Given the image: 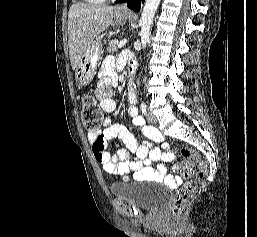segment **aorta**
I'll list each match as a JSON object with an SVG mask.
<instances>
[{
	"instance_id": "aorta-1",
	"label": "aorta",
	"mask_w": 257,
	"mask_h": 237,
	"mask_svg": "<svg viewBox=\"0 0 257 237\" xmlns=\"http://www.w3.org/2000/svg\"><path fill=\"white\" fill-rule=\"evenodd\" d=\"M161 0H145L142 10L140 25V37L142 47L145 48L150 41L151 25Z\"/></svg>"
}]
</instances>
